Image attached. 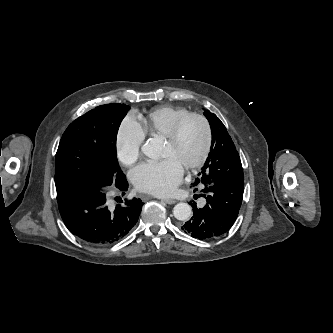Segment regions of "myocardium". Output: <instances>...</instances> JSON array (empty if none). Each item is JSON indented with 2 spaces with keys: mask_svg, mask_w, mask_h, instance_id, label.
Wrapping results in <instances>:
<instances>
[{
  "mask_svg": "<svg viewBox=\"0 0 333 333\" xmlns=\"http://www.w3.org/2000/svg\"><path fill=\"white\" fill-rule=\"evenodd\" d=\"M190 120H198L201 122L205 131V140H204V147L199 158L195 162L185 167V170L188 172L197 170L201 166H203L210 154L213 143V131L209 120L202 114L189 113L178 119L170 129L169 133L165 136V141L167 143L175 144L179 139L182 128Z\"/></svg>",
  "mask_w": 333,
  "mask_h": 333,
  "instance_id": "1",
  "label": "myocardium"
}]
</instances>
